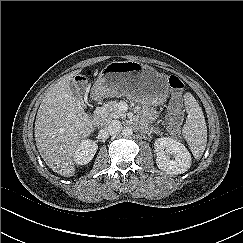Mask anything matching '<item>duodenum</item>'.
<instances>
[{
	"label": "duodenum",
	"instance_id": "obj_1",
	"mask_svg": "<svg viewBox=\"0 0 243 243\" xmlns=\"http://www.w3.org/2000/svg\"><path fill=\"white\" fill-rule=\"evenodd\" d=\"M91 120L92 122L95 124V125H99L102 120H103V117H102V114L100 111H94L92 114H91Z\"/></svg>",
	"mask_w": 243,
	"mask_h": 243
}]
</instances>
